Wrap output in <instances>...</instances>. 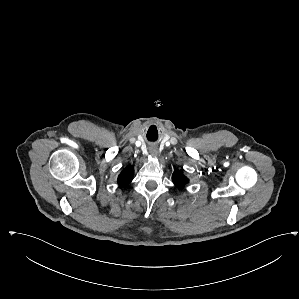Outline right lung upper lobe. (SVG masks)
I'll use <instances>...</instances> for the list:
<instances>
[{"label": "right lung upper lobe", "mask_w": 299, "mask_h": 299, "mask_svg": "<svg viewBox=\"0 0 299 299\" xmlns=\"http://www.w3.org/2000/svg\"><path fill=\"white\" fill-rule=\"evenodd\" d=\"M133 173H134L133 167H127L119 175L118 183L120 185H128L133 178Z\"/></svg>", "instance_id": "1"}]
</instances>
